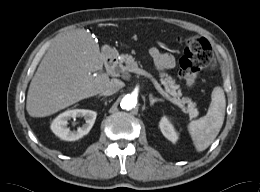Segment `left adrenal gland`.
I'll return each mask as SVG.
<instances>
[{"label":"left adrenal gland","mask_w":260,"mask_h":192,"mask_svg":"<svg viewBox=\"0 0 260 192\" xmlns=\"http://www.w3.org/2000/svg\"><path fill=\"white\" fill-rule=\"evenodd\" d=\"M150 105L153 106L156 102L163 101L162 99L154 98L152 94H149Z\"/></svg>","instance_id":"a2214340"}]
</instances>
